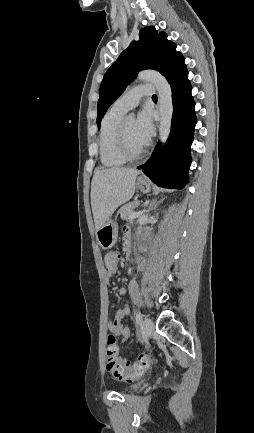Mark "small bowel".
Here are the masks:
<instances>
[{
	"instance_id": "small-bowel-1",
	"label": "small bowel",
	"mask_w": 254,
	"mask_h": 433,
	"mask_svg": "<svg viewBox=\"0 0 254 433\" xmlns=\"http://www.w3.org/2000/svg\"><path fill=\"white\" fill-rule=\"evenodd\" d=\"M125 233V237L126 239H128L130 237V233L128 231V229L124 230ZM112 274H107L106 276V280L107 282L109 281V278ZM125 281V280H124ZM119 293L121 295H124L126 293V288L125 287H121L119 289ZM130 313V308L128 306V304H124L115 314V317L113 320H108L106 322V329L116 335V336H121L122 341H126L130 338L131 336V330L128 326L124 325L122 323V320L127 317Z\"/></svg>"
}]
</instances>
